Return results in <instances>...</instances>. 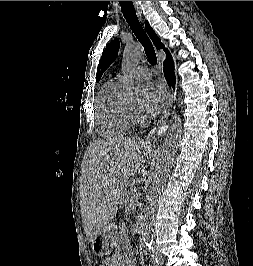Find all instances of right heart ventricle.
<instances>
[{
    "label": "right heart ventricle",
    "instance_id": "right-heart-ventricle-1",
    "mask_svg": "<svg viewBox=\"0 0 253 266\" xmlns=\"http://www.w3.org/2000/svg\"><path fill=\"white\" fill-rule=\"evenodd\" d=\"M96 124L102 137H119L128 134L136 121L121 93L118 80H109L102 87L96 105Z\"/></svg>",
    "mask_w": 253,
    "mask_h": 266
}]
</instances>
